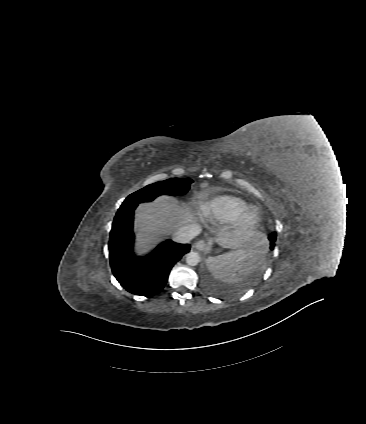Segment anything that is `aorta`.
Returning a JSON list of instances; mask_svg holds the SVG:
<instances>
[{"label":"aorta","instance_id":"obj_1","mask_svg":"<svg viewBox=\"0 0 366 424\" xmlns=\"http://www.w3.org/2000/svg\"><path fill=\"white\" fill-rule=\"evenodd\" d=\"M200 262V255L197 252H189L186 255V263L190 266H196Z\"/></svg>","mask_w":366,"mask_h":424}]
</instances>
